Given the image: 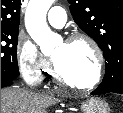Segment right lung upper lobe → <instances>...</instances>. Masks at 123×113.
Instances as JSON below:
<instances>
[{"instance_id": "right-lung-upper-lobe-1", "label": "right lung upper lobe", "mask_w": 123, "mask_h": 113, "mask_svg": "<svg viewBox=\"0 0 123 113\" xmlns=\"http://www.w3.org/2000/svg\"><path fill=\"white\" fill-rule=\"evenodd\" d=\"M21 0H1V30L19 29Z\"/></svg>"}]
</instances>
